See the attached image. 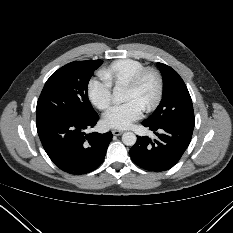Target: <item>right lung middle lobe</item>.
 Listing matches in <instances>:
<instances>
[{
    "instance_id": "1",
    "label": "right lung middle lobe",
    "mask_w": 233,
    "mask_h": 233,
    "mask_svg": "<svg viewBox=\"0 0 233 233\" xmlns=\"http://www.w3.org/2000/svg\"><path fill=\"white\" fill-rule=\"evenodd\" d=\"M102 62L75 61L52 74L37 102V124L48 119H80L95 114L88 99L87 86Z\"/></svg>"
}]
</instances>
